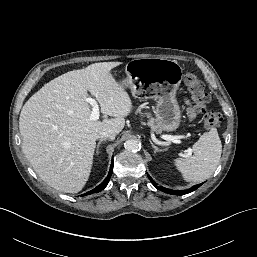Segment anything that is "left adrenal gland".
Wrapping results in <instances>:
<instances>
[{"mask_svg": "<svg viewBox=\"0 0 257 257\" xmlns=\"http://www.w3.org/2000/svg\"><path fill=\"white\" fill-rule=\"evenodd\" d=\"M150 144L153 147L155 154L158 153V152L163 151L162 149H159L157 146H155L151 140H150Z\"/></svg>", "mask_w": 257, "mask_h": 257, "instance_id": "a2214340", "label": "left adrenal gland"}]
</instances>
